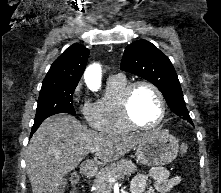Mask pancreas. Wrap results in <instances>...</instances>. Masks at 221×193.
Returning <instances> with one entry per match:
<instances>
[{
    "label": "pancreas",
    "mask_w": 221,
    "mask_h": 193,
    "mask_svg": "<svg viewBox=\"0 0 221 193\" xmlns=\"http://www.w3.org/2000/svg\"><path fill=\"white\" fill-rule=\"evenodd\" d=\"M137 170V166L129 159H122L116 163H113L104 169H101L95 174L94 193H108L112 181L124 178V176H130Z\"/></svg>",
    "instance_id": "obj_1"
}]
</instances>
